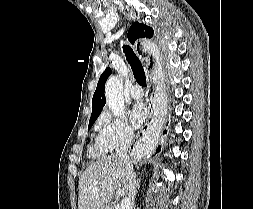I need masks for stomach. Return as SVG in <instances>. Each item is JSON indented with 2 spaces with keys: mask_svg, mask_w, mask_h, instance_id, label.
<instances>
[{
  "mask_svg": "<svg viewBox=\"0 0 253 209\" xmlns=\"http://www.w3.org/2000/svg\"><path fill=\"white\" fill-rule=\"evenodd\" d=\"M101 209H108L107 207H103V208H101Z\"/></svg>",
  "mask_w": 253,
  "mask_h": 209,
  "instance_id": "obj_1",
  "label": "stomach"
}]
</instances>
